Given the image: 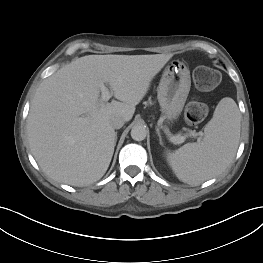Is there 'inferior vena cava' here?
<instances>
[{
    "label": "inferior vena cava",
    "instance_id": "inferior-vena-cava-1",
    "mask_svg": "<svg viewBox=\"0 0 263 263\" xmlns=\"http://www.w3.org/2000/svg\"><path fill=\"white\" fill-rule=\"evenodd\" d=\"M124 122L125 120L123 117L116 116L111 119V126L114 129H120L124 125Z\"/></svg>",
    "mask_w": 263,
    "mask_h": 263
}]
</instances>
